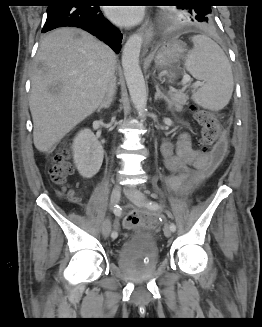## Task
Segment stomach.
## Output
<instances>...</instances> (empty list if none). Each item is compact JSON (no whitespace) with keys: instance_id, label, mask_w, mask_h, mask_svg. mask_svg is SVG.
Returning <instances> with one entry per match:
<instances>
[{"instance_id":"stomach-1","label":"stomach","mask_w":262,"mask_h":327,"mask_svg":"<svg viewBox=\"0 0 262 327\" xmlns=\"http://www.w3.org/2000/svg\"><path fill=\"white\" fill-rule=\"evenodd\" d=\"M185 52L184 46L179 41H170L169 45H162L159 49L155 63L159 68L171 67L177 64Z\"/></svg>"}]
</instances>
